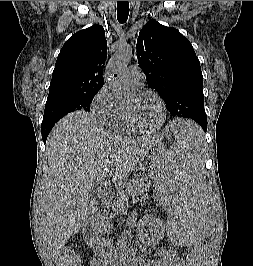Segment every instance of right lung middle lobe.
I'll return each mask as SVG.
<instances>
[{
    "label": "right lung middle lobe",
    "instance_id": "obj_1",
    "mask_svg": "<svg viewBox=\"0 0 253 266\" xmlns=\"http://www.w3.org/2000/svg\"><path fill=\"white\" fill-rule=\"evenodd\" d=\"M98 91L59 92L48 95L41 127L54 125L64 115L73 111H90V104Z\"/></svg>",
    "mask_w": 253,
    "mask_h": 266
}]
</instances>
